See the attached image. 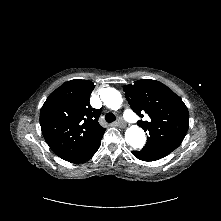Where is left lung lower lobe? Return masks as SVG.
I'll return each instance as SVG.
<instances>
[{"instance_id":"obj_1","label":"left lung lower lobe","mask_w":221,"mask_h":221,"mask_svg":"<svg viewBox=\"0 0 221 221\" xmlns=\"http://www.w3.org/2000/svg\"><path fill=\"white\" fill-rule=\"evenodd\" d=\"M132 154L142 160V161H156V160H159L161 159L162 157L160 156H155V155H151V154H147L145 152H142V151H132Z\"/></svg>"}]
</instances>
